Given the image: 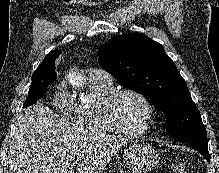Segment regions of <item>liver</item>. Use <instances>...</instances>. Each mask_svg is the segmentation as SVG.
Masks as SVG:
<instances>
[{"label": "liver", "instance_id": "1", "mask_svg": "<svg viewBox=\"0 0 219 173\" xmlns=\"http://www.w3.org/2000/svg\"><path fill=\"white\" fill-rule=\"evenodd\" d=\"M125 140L73 126L38 102L17 116L11 173H100Z\"/></svg>", "mask_w": 219, "mask_h": 173}]
</instances>
